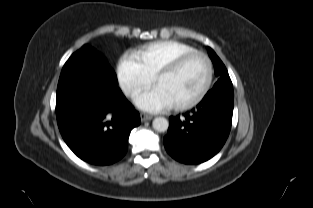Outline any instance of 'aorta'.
Wrapping results in <instances>:
<instances>
[{
    "label": "aorta",
    "mask_w": 313,
    "mask_h": 208,
    "mask_svg": "<svg viewBox=\"0 0 313 208\" xmlns=\"http://www.w3.org/2000/svg\"><path fill=\"white\" fill-rule=\"evenodd\" d=\"M152 126L158 132H165L169 127V122L164 117H156L153 120Z\"/></svg>",
    "instance_id": "obj_1"
}]
</instances>
